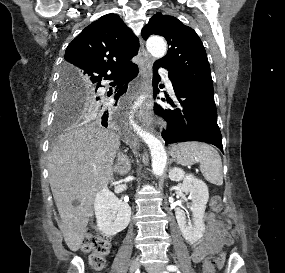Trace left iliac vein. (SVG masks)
Here are the masks:
<instances>
[{"label": "left iliac vein", "mask_w": 285, "mask_h": 273, "mask_svg": "<svg viewBox=\"0 0 285 273\" xmlns=\"http://www.w3.org/2000/svg\"><path fill=\"white\" fill-rule=\"evenodd\" d=\"M148 273H168L163 265L149 266L147 267Z\"/></svg>", "instance_id": "obj_1"}]
</instances>
